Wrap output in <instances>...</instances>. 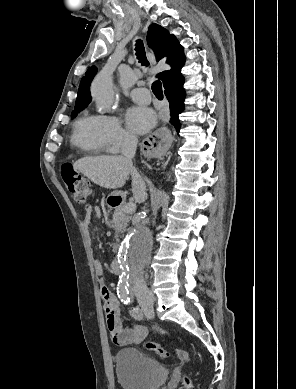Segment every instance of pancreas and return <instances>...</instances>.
Here are the masks:
<instances>
[{"label":"pancreas","instance_id":"obj_1","mask_svg":"<svg viewBox=\"0 0 296 389\" xmlns=\"http://www.w3.org/2000/svg\"><path fill=\"white\" fill-rule=\"evenodd\" d=\"M124 205L118 207L113 214V218L108 221V225L116 231V234L126 232L128 223L131 221L129 212H125Z\"/></svg>","mask_w":296,"mask_h":389}]
</instances>
